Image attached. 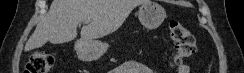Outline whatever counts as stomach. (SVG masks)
Listing matches in <instances>:
<instances>
[{
    "label": "stomach",
    "instance_id": "stomach-1",
    "mask_svg": "<svg viewBox=\"0 0 244 73\" xmlns=\"http://www.w3.org/2000/svg\"><path fill=\"white\" fill-rule=\"evenodd\" d=\"M138 17L143 26L149 29H155L161 25L166 17L164 8L154 2L147 0L139 10ZM109 45L101 41H80L75 44V50L78 57L84 61H93L106 53Z\"/></svg>",
    "mask_w": 244,
    "mask_h": 73
}]
</instances>
